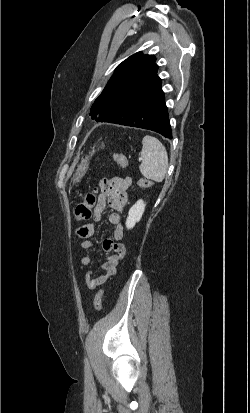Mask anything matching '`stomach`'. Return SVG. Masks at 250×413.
<instances>
[{
  "instance_id": "obj_1",
  "label": "stomach",
  "mask_w": 250,
  "mask_h": 413,
  "mask_svg": "<svg viewBox=\"0 0 250 413\" xmlns=\"http://www.w3.org/2000/svg\"><path fill=\"white\" fill-rule=\"evenodd\" d=\"M104 147V144H102V148ZM95 152V150L93 149L91 152V155H93ZM89 167V156L86 157L85 159H83L80 164L78 165V168L75 172V174L73 175V178L71 180L72 185L76 184L77 182H79L82 177L85 175V173L87 172Z\"/></svg>"
}]
</instances>
